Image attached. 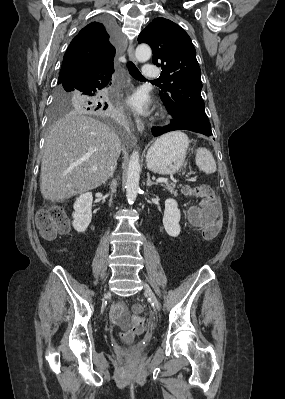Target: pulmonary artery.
<instances>
[{"label": "pulmonary artery", "instance_id": "1", "mask_svg": "<svg viewBox=\"0 0 285 399\" xmlns=\"http://www.w3.org/2000/svg\"><path fill=\"white\" fill-rule=\"evenodd\" d=\"M142 75L144 78L152 79L158 77L159 72L154 65L146 63L143 67Z\"/></svg>", "mask_w": 285, "mask_h": 399}]
</instances>
